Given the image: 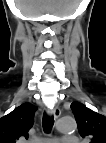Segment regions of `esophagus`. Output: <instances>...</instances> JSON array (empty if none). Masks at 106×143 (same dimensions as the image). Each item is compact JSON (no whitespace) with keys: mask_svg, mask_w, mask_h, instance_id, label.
<instances>
[{"mask_svg":"<svg viewBox=\"0 0 106 143\" xmlns=\"http://www.w3.org/2000/svg\"><path fill=\"white\" fill-rule=\"evenodd\" d=\"M48 115L53 116L57 120L61 115V110L58 106H55L52 110H48Z\"/></svg>","mask_w":106,"mask_h":143,"instance_id":"34e87169","label":"esophagus"}]
</instances>
